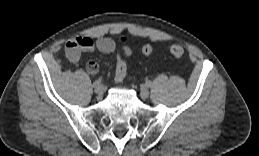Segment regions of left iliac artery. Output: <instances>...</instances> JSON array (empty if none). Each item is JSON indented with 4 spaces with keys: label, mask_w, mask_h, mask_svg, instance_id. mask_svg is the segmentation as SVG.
I'll return each mask as SVG.
<instances>
[{
    "label": "left iliac artery",
    "mask_w": 259,
    "mask_h": 156,
    "mask_svg": "<svg viewBox=\"0 0 259 156\" xmlns=\"http://www.w3.org/2000/svg\"><path fill=\"white\" fill-rule=\"evenodd\" d=\"M146 86H147V87H150V86H151L150 81H147V82H146Z\"/></svg>",
    "instance_id": "1"
}]
</instances>
